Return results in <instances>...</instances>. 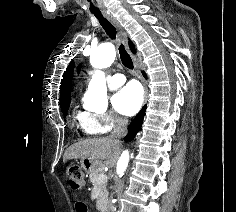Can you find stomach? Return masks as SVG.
<instances>
[{"mask_svg": "<svg viewBox=\"0 0 236 212\" xmlns=\"http://www.w3.org/2000/svg\"><path fill=\"white\" fill-rule=\"evenodd\" d=\"M99 166L96 160L85 158L81 160V167L85 170L86 173L91 174Z\"/></svg>", "mask_w": 236, "mask_h": 212, "instance_id": "1", "label": "stomach"}]
</instances>
